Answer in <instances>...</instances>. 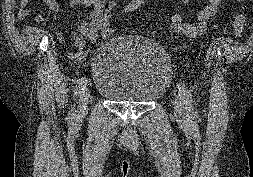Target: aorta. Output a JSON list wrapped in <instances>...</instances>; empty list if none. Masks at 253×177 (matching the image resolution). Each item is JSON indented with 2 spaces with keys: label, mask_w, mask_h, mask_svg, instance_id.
Instances as JSON below:
<instances>
[{
  "label": "aorta",
  "mask_w": 253,
  "mask_h": 177,
  "mask_svg": "<svg viewBox=\"0 0 253 177\" xmlns=\"http://www.w3.org/2000/svg\"><path fill=\"white\" fill-rule=\"evenodd\" d=\"M134 2H136L137 4H141L143 2V0H133Z\"/></svg>",
  "instance_id": "1"
}]
</instances>
